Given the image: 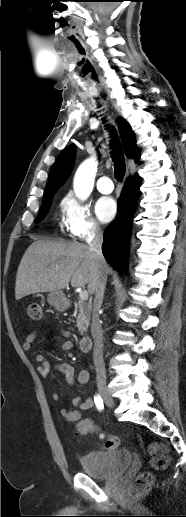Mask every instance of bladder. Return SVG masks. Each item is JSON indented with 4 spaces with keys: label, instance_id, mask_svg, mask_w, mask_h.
<instances>
[{
    "label": "bladder",
    "instance_id": "31cf9c89",
    "mask_svg": "<svg viewBox=\"0 0 186 517\" xmlns=\"http://www.w3.org/2000/svg\"><path fill=\"white\" fill-rule=\"evenodd\" d=\"M132 454L128 449L109 453L89 452L80 457L83 471L96 479H111L120 476L131 464Z\"/></svg>",
    "mask_w": 186,
    "mask_h": 517
}]
</instances>
